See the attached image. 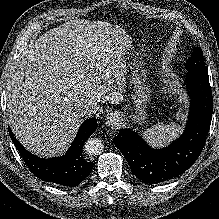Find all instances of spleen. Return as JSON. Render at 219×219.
Returning a JSON list of instances; mask_svg holds the SVG:
<instances>
[{
    "instance_id": "3e777b00",
    "label": "spleen",
    "mask_w": 219,
    "mask_h": 219,
    "mask_svg": "<svg viewBox=\"0 0 219 219\" xmlns=\"http://www.w3.org/2000/svg\"><path fill=\"white\" fill-rule=\"evenodd\" d=\"M184 118L185 114L183 108L180 107L176 113V119L183 121ZM181 130L182 127L174 122L169 123L168 125L158 123L151 128L146 129V131L143 132V137L149 145L161 147L167 145L170 140L178 137Z\"/></svg>"
}]
</instances>
